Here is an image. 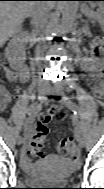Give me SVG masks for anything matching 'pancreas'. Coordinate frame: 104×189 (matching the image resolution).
Here are the masks:
<instances>
[{
  "mask_svg": "<svg viewBox=\"0 0 104 189\" xmlns=\"http://www.w3.org/2000/svg\"><path fill=\"white\" fill-rule=\"evenodd\" d=\"M89 17H91V18H93L94 20H98L99 19V14H97V13H93V12H89L88 14H87Z\"/></svg>",
  "mask_w": 104,
  "mask_h": 189,
  "instance_id": "cf45deb5",
  "label": "pancreas"
}]
</instances>
